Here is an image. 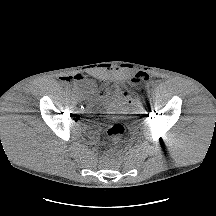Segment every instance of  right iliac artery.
Here are the masks:
<instances>
[{
	"label": "right iliac artery",
	"instance_id": "82829eb1",
	"mask_svg": "<svg viewBox=\"0 0 216 216\" xmlns=\"http://www.w3.org/2000/svg\"><path fill=\"white\" fill-rule=\"evenodd\" d=\"M70 91H71V94H76L77 92L76 89H73V88Z\"/></svg>",
	"mask_w": 216,
	"mask_h": 216
}]
</instances>
